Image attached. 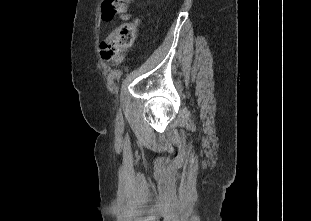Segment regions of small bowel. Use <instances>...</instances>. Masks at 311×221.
<instances>
[{"label":"small bowel","mask_w":311,"mask_h":221,"mask_svg":"<svg viewBox=\"0 0 311 221\" xmlns=\"http://www.w3.org/2000/svg\"><path fill=\"white\" fill-rule=\"evenodd\" d=\"M120 18H121V20H123V21H128V20H130V19L132 18V16H131L130 14H127V13H122V14L120 15Z\"/></svg>","instance_id":"obj_1"}]
</instances>
